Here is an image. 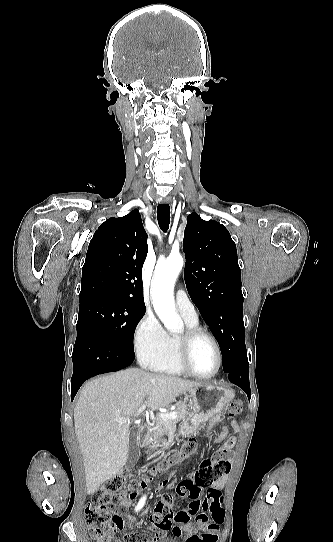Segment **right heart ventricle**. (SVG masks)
I'll list each match as a JSON object with an SVG mask.
<instances>
[{
    "instance_id": "obj_1",
    "label": "right heart ventricle",
    "mask_w": 333,
    "mask_h": 542,
    "mask_svg": "<svg viewBox=\"0 0 333 542\" xmlns=\"http://www.w3.org/2000/svg\"><path fill=\"white\" fill-rule=\"evenodd\" d=\"M184 318V317H183ZM187 329L198 327V321H190L184 318ZM176 339L175 335L166 334L165 344L162 348L148 352L143 356H139L140 364L149 370L169 373L173 375H182V370L176 356Z\"/></svg>"
}]
</instances>
